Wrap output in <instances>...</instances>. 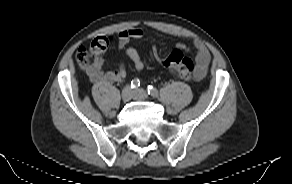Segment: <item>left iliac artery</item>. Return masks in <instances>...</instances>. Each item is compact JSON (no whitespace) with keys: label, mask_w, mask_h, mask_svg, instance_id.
<instances>
[{"label":"left iliac artery","mask_w":292,"mask_h":184,"mask_svg":"<svg viewBox=\"0 0 292 184\" xmlns=\"http://www.w3.org/2000/svg\"><path fill=\"white\" fill-rule=\"evenodd\" d=\"M147 91H148V94L151 95L152 97L157 98L159 96L158 90L155 87H153L152 85H149L147 87Z\"/></svg>","instance_id":"obj_1"}]
</instances>
